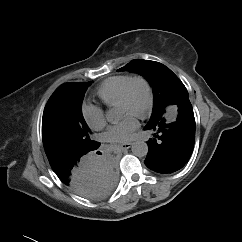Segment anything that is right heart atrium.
Wrapping results in <instances>:
<instances>
[{
	"mask_svg": "<svg viewBox=\"0 0 242 242\" xmlns=\"http://www.w3.org/2000/svg\"><path fill=\"white\" fill-rule=\"evenodd\" d=\"M81 116L86 125L92 130H100L105 125V114L101 107L84 102L81 105Z\"/></svg>",
	"mask_w": 242,
	"mask_h": 242,
	"instance_id": "right-heart-atrium-1",
	"label": "right heart atrium"
}]
</instances>
